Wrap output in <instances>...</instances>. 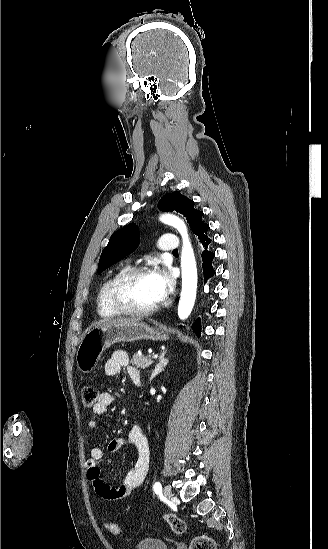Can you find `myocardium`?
Wrapping results in <instances>:
<instances>
[{
	"instance_id": "1",
	"label": "myocardium",
	"mask_w": 328,
	"mask_h": 549,
	"mask_svg": "<svg viewBox=\"0 0 328 549\" xmlns=\"http://www.w3.org/2000/svg\"><path fill=\"white\" fill-rule=\"evenodd\" d=\"M157 260H146L132 264L130 267L126 268L120 272L109 284L106 291V300H107V310L109 313L118 316H133V317H145L156 312L161 304V300L154 303L150 307L146 308H129V307H120L118 305H127L132 304L130 301L124 299L120 292L124 284H126L130 279L145 273H151L152 270L149 269L151 266L159 265Z\"/></svg>"
}]
</instances>
